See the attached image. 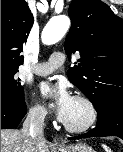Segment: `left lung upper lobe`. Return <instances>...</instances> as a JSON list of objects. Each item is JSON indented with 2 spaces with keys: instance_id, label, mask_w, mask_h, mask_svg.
Returning <instances> with one entry per match:
<instances>
[{
  "instance_id": "1",
  "label": "left lung upper lobe",
  "mask_w": 123,
  "mask_h": 152,
  "mask_svg": "<svg viewBox=\"0 0 123 152\" xmlns=\"http://www.w3.org/2000/svg\"><path fill=\"white\" fill-rule=\"evenodd\" d=\"M72 20L64 48L80 59L69 68V80L98 108L110 98H123V19L100 0H73Z\"/></svg>"
}]
</instances>
